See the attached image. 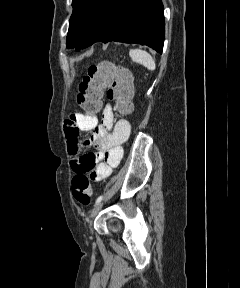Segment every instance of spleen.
I'll return each instance as SVG.
<instances>
[{
	"instance_id": "1",
	"label": "spleen",
	"mask_w": 240,
	"mask_h": 288,
	"mask_svg": "<svg viewBox=\"0 0 240 288\" xmlns=\"http://www.w3.org/2000/svg\"><path fill=\"white\" fill-rule=\"evenodd\" d=\"M129 55L131 59L137 63H141L144 65L148 70H155L156 64L153 57L144 50L141 49H131L129 51Z\"/></svg>"
}]
</instances>
